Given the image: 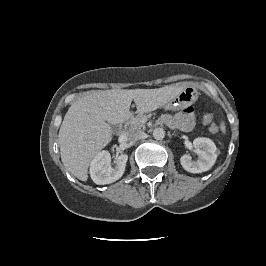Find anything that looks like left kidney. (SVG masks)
<instances>
[{"label": "left kidney", "instance_id": "1", "mask_svg": "<svg viewBox=\"0 0 266 266\" xmlns=\"http://www.w3.org/2000/svg\"><path fill=\"white\" fill-rule=\"evenodd\" d=\"M193 145L197 160H192L190 155H183L180 159L182 167L191 173H202L208 171L217 159V148L209 138L199 137L194 139Z\"/></svg>", "mask_w": 266, "mask_h": 266}]
</instances>
